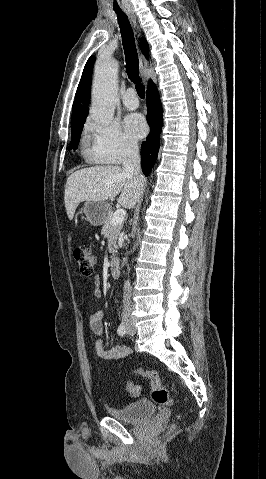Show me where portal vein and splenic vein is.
Segmentation results:
<instances>
[{
    "label": "portal vein and splenic vein",
    "mask_w": 266,
    "mask_h": 479,
    "mask_svg": "<svg viewBox=\"0 0 266 479\" xmlns=\"http://www.w3.org/2000/svg\"><path fill=\"white\" fill-rule=\"evenodd\" d=\"M125 215L126 211L124 209H118L112 217V223L121 224L124 220Z\"/></svg>",
    "instance_id": "obj_1"
}]
</instances>
